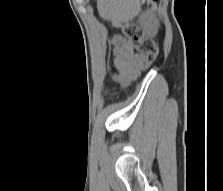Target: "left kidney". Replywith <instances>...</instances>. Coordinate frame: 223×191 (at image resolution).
<instances>
[{
  "mask_svg": "<svg viewBox=\"0 0 223 191\" xmlns=\"http://www.w3.org/2000/svg\"><path fill=\"white\" fill-rule=\"evenodd\" d=\"M141 23L145 28L146 32L150 36L156 34L158 27V20L151 11H147L146 13L143 14L141 18Z\"/></svg>",
  "mask_w": 223,
  "mask_h": 191,
  "instance_id": "1",
  "label": "left kidney"
}]
</instances>
